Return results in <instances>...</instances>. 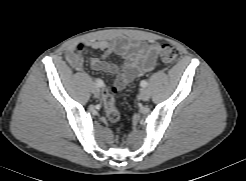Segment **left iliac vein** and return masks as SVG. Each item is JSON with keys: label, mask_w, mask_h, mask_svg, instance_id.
Wrapping results in <instances>:
<instances>
[{"label": "left iliac vein", "mask_w": 246, "mask_h": 181, "mask_svg": "<svg viewBox=\"0 0 246 181\" xmlns=\"http://www.w3.org/2000/svg\"><path fill=\"white\" fill-rule=\"evenodd\" d=\"M139 98L143 101H147L150 98L149 91L145 88L141 89V91L139 93Z\"/></svg>", "instance_id": "obj_1"}]
</instances>
